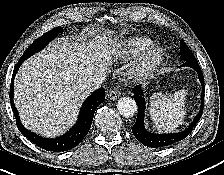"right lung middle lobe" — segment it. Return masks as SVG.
I'll use <instances>...</instances> for the list:
<instances>
[{
    "label": "right lung middle lobe",
    "instance_id": "1",
    "mask_svg": "<svg viewBox=\"0 0 224 175\" xmlns=\"http://www.w3.org/2000/svg\"><path fill=\"white\" fill-rule=\"evenodd\" d=\"M63 29L53 28L52 30L46 32L42 37L36 39L24 52L20 59H28L33 54L42 50L51 40L56 38L59 33H62Z\"/></svg>",
    "mask_w": 224,
    "mask_h": 175
}]
</instances>
